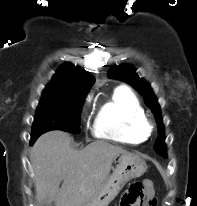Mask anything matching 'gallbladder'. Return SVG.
Wrapping results in <instances>:
<instances>
[{
    "mask_svg": "<svg viewBox=\"0 0 197 206\" xmlns=\"http://www.w3.org/2000/svg\"><path fill=\"white\" fill-rule=\"evenodd\" d=\"M41 206H52L50 203H43Z\"/></svg>",
    "mask_w": 197,
    "mask_h": 206,
    "instance_id": "1",
    "label": "gallbladder"
}]
</instances>
